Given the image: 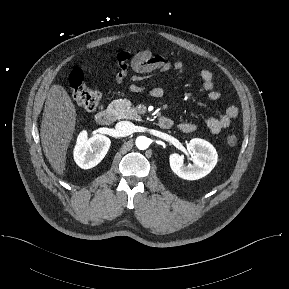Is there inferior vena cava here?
<instances>
[{
    "label": "inferior vena cava",
    "mask_w": 289,
    "mask_h": 289,
    "mask_svg": "<svg viewBox=\"0 0 289 289\" xmlns=\"http://www.w3.org/2000/svg\"><path fill=\"white\" fill-rule=\"evenodd\" d=\"M119 136H128L134 132V124L129 121H120L116 124Z\"/></svg>",
    "instance_id": "1"
}]
</instances>
